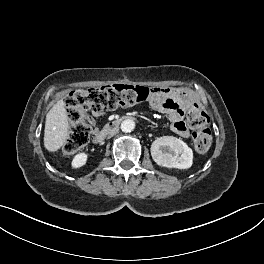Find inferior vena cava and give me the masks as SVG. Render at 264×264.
I'll use <instances>...</instances> for the list:
<instances>
[{"label":"inferior vena cava","instance_id":"inferior-vena-cava-1","mask_svg":"<svg viewBox=\"0 0 264 264\" xmlns=\"http://www.w3.org/2000/svg\"><path fill=\"white\" fill-rule=\"evenodd\" d=\"M120 133H121V128H115V130H113V132H110L108 134V137L109 138L116 137V135H118Z\"/></svg>","mask_w":264,"mask_h":264}]
</instances>
